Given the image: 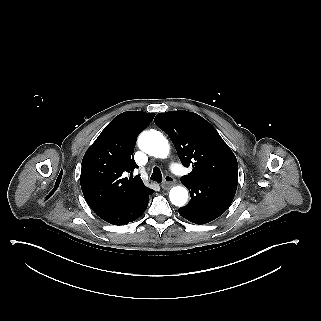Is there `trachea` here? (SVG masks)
I'll list each match as a JSON object with an SVG mask.
<instances>
[{
	"mask_svg": "<svg viewBox=\"0 0 321 321\" xmlns=\"http://www.w3.org/2000/svg\"><path fill=\"white\" fill-rule=\"evenodd\" d=\"M151 180L156 182H162V174L158 167H154L151 175Z\"/></svg>",
	"mask_w": 321,
	"mask_h": 321,
	"instance_id": "3493384b",
	"label": "trachea"
}]
</instances>
